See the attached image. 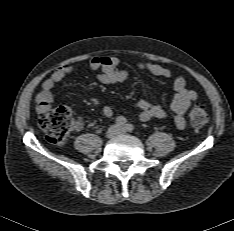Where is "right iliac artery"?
Instances as JSON below:
<instances>
[{
  "label": "right iliac artery",
  "instance_id": "right-iliac-artery-1",
  "mask_svg": "<svg viewBox=\"0 0 234 231\" xmlns=\"http://www.w3.org/2000/svg\"><path fill=\"white\" fill-rule=\"evenodd\" d=\"M115 122L118 124V125H125V123L127 122L126 118L123 117V116H119L116 118Z\"/></svg>",
  "mask_w": 234,
  "mask_h": 231
}]
</instances>
